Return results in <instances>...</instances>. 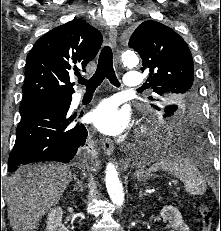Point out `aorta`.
<instances>
[{"instance_id":"aorta-1","label":"aorta","mask_w":221,"mask_h":231,"mask_svg":"<svg viewBox=\"0 0 221 231\" xmlns=\"http://www.w3.org/2000/svg\"><path fill=\"white\" fill-rule=\"evenodd\" d=\"M121 61L124 66L133 68L137 66L139 59L133 50L127 49L123 51ZM105 183L110 199L115 205L121 207L124 202L123 187L118 178L115 165L111 162H109L106 167Z\"/></svg>"}]
</instances>
